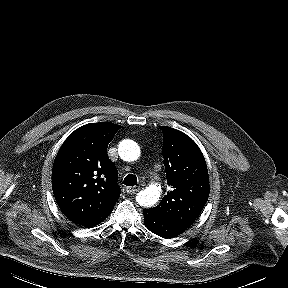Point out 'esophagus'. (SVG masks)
<instances>
[{"instance_id":"34e87169","label":"esophagus","mask_w":288,"mask_h":288,"mask_svg":"<svg viewBox=\"0 0 288 288\" xmlns=\"http://www.w3.org/2000/svg\"><path fill=\"white\" fill-rule=\"evenodd\" d=\"M139 189H140V187H138V186H131V187H127V188H126V192H127L128 194H134V193H136L137 191H139Z\"/></svg>"}]
</instances>
